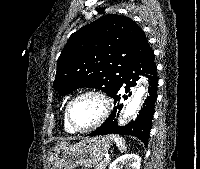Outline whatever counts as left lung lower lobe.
<instances>
[{
	"label": "left lung lower lobe",
	"mask_w": 200,
	"mask_h": 169,
	"mask_svg": "<svg viewBox=\"0 0 200 169\" xmlns=\"http://www.w3.org/2000/svg\"><path fill=\"white\" fill-rule=\"evenodd\" d=\"M139 75L149 78V96L145 100L143 108L139 111V115L137 116L136 120H132V122L126 126H118L117 116L122 108V105L117 104L110 117L99 128L87 136L106 135L113 133L131 135L139 138L145 145H147L154 113V105L157 97L158 85L154 53L151 48L128 69L122 83L111 97L114 98L115 101H119L121 99L119 90L123 83L126 84V92H129L130 87L136 85V80L139 79Z\"/></svg>",
	"instance_id": "1"
}]
</instances>
